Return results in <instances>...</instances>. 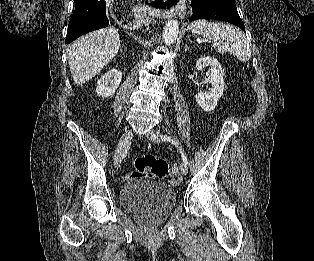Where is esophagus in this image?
I'll return each instance as SVG.
<instances>
[{"mask_svg": "<svg viewBox=\"0 0 314 261\" xmlns=\"http://www.w3.org/2000/svg\"><path fill=\"white\" fill-rule=\"evenodd\" d=\"M164 5L165 8L162 9V11L159 10V12H161L166 17H170L173 15L182 16L183 14H185L183 0H179L175 5H171V3L169 2H166V4Z\"/></svg>", "mask_w": 314, "mask_h": 261, "instance_id": "obj_1", "label": "esophagus"}]
</instances>
